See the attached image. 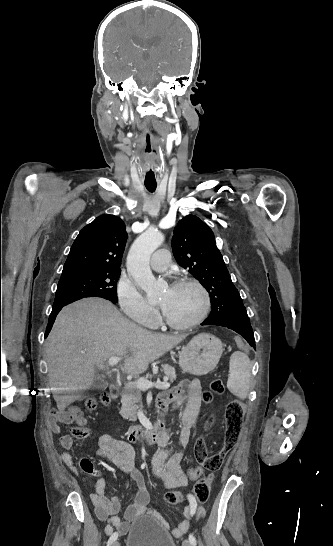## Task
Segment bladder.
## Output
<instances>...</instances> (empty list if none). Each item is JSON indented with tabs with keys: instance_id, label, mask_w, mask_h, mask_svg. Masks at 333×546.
<instances>
[{
	"instance_id": "bladder-1",
	"label": "bladder",
	"mask_w": 333,
	"mask_h": 546,
	"mask_svg": "<svg viewBox=\"0 0 333 546\" xmlns=\"http://www.w3.org/2000/svg\"><path fill=\"white\" fill-rule=\"evenodd\" d=\"M126 546H176L175 540L157 519L141 516L128 527Z\"/></svg>"
}]
</instances>
